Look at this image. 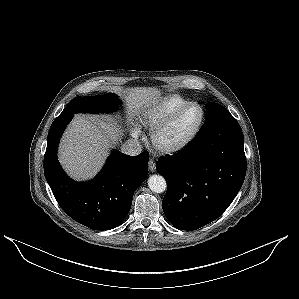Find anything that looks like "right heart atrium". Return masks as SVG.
<instances>
[{
	"label": "right heart atrium",
	"instance_id": "1",
	"mask_svg": "<svg viewBox=\"0 0 299 299\" xmlns=\"http://www.w3.org/2000/svg\"><path fill=\"white\" fill-rule=\"evenodd\" d=\"M139 135H140V131H139V129H138V128H135V129L133 130V137H134V138H138Z\"/></svg>",
	"mask_w": 299,
	"mask_h": 299
}]
</instances>
